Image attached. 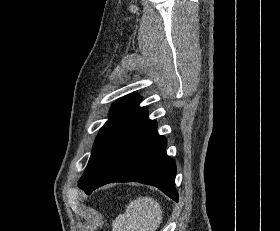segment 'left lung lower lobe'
<instances>
[{"label":"left lung lower lobe","instance_id":"1","mask_svg":"<svg viewBox=\"0 0 280 231\" xmlns=\"http://www.w3.org/2000/svg\"><path fill=\"white\" fill-rule=\"evenodd\" d=\"M156 129L147 115L116 133L94 157L79 187L90 194L107 183L136 181L156 186L178 202L175 162Z\"/></svg>","mask_w":280,"mask_h":231}]
</instances>
